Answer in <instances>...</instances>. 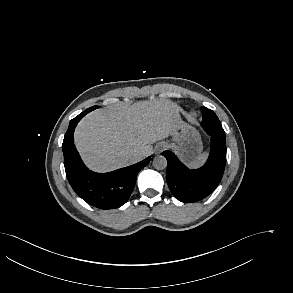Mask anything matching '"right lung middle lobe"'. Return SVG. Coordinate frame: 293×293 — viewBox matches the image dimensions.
<instances>
[{
	"instance_id": "dd1d6c3e",
	"label": "right lung middle lobe",
	"mask_w": 293,
	"mask_h": 293,
	"mask_svg": "<svg viewBox=\"0 0 293 293\" xmlns=\"http://www.w3.org/2000/svg\"><path fill=\"white\" fill-rule=\"evenodd\" d=\"M96 108H97V106H94V107H91L90 110H94V109H96Z\"/></svg>"
}]
</instances>
